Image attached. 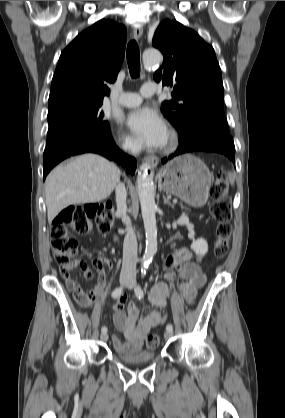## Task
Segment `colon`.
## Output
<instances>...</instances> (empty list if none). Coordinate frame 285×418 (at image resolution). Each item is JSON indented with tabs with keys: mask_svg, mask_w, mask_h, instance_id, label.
<instances>
[{
	"mask_svg": "<svg viewBox=\"0 0 285 418\" xmlns=\"http://www.w3.org/2000/svg\"><path fill=\"white\" fill-rule=\"evenodd\" d=\"M210 195L212 202L209 206V212L211 218L217 223L213 255L217 259H222L228 253V239L231 233V207L228 201V187L223 173L218 174L216 181L210 188ZM92 219L96 221V229L100 233L108 232L114 222L111 209L99 203L70 205L64 208L52 221L51 245L53 255L61 266L63 276L67 272L66 267L72 265L80 249L76 235L89 233L93 229ZM91 264L96 269L107 265L99 257L92 258ZM82 268L85 276H91V272L86 265L83 264ZM72 289L78 301L82 303L89 301L88 291L74 281ZM159 341L160 337L158 335H151L146 339L145 346L148 350H152L157 347Z\"/></svg>",
	"mask_w": 285,
	"mask_h": 418,
	"instance_id": "obj_1",
	"label": "colon"
}]
</instances>
